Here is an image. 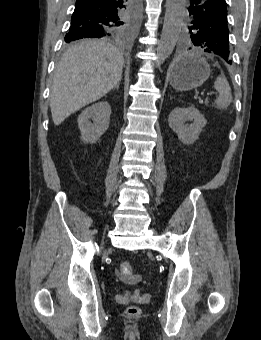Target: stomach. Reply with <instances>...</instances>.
Wrapping results in <instances>:
<instances>
[{
  "label": "stomach",
  "mask_w": 261,
  "mask_h": 340,
  "mask_svg": "<svg viewBox=\"0 0 261 340\" xmlns=\"http://www.w3.org/2000/svg\"><path fill=\"white\" fill-rule=\"evenodd\" d=\"M210 76L207 60L194 53L178 57L169 69L170 84L179 91H189L201 86Z\"/></svg>",
  "instance_id": "obj_1"
}]
</instances>
